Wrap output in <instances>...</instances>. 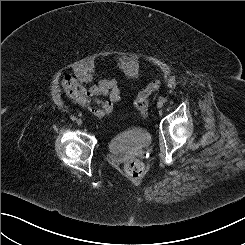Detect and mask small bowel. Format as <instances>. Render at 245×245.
<instances>
[{
  "label": "small bowel",
  "mask_w": 245,
  "mask_h": 245,
  "mask_svg": "<svg viewBox=\"0 0 245 245\" xmlns=\"http://www.w3.org/2000/svg\"><path fill=\"white\" fill-rule=\"evenodd\" d=\"M62 86L72 101L87 109L98 119L109 115L121 100V90L114 77L103 79L87 89L76 77L66 75L62 80ZM100 96H105L107 99L100 100Z\"/></svg>",
  "instance_id": "small-bowel-1"
}]
</instances>
